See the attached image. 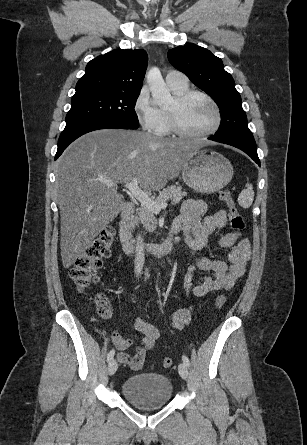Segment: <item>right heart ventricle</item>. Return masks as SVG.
<instances>
[{"instance_id": "e07e8e85", "label": "right heart ventricle", "mask_w": 307, "mask_h": 445, "mask_svg": "<svg viewBox=\"0 0 307 445\" xmlns=\"http://www.w3.org/2000/svg\"><path fill=\"white\" fill-rule=\"evenodd\" d=\"M169 88H170L171 92L173 93V95H180V94H182V93H184V92H186L188 90V85H186V86L169 85ZM161 113H162V127H161V131L162 132H168L170 129H169V126H168V123H167V119L165 117L164 112L161 111Z\"/></svg>"}]
</instances>
